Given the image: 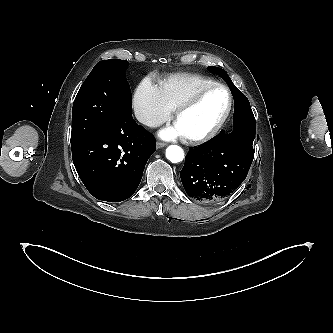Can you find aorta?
Instances as JSON below:
<instances>
[{"label":"aorta","mask_w":333,"mask_h":333,"mask_svg":"<svg viewBox=\"0 0 333 333\" xmlns=\"http://www.w3.org/2000/svg\"><path fill=\"white\" fill-rule=\"evenodd\" d=\"M166 158L172 163L181 162L184 159V151L178 145H170L166 149Z\"/></svg>","instance_id":"aorta-1"}]
</instances>
